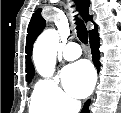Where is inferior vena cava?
<instances>
[{
	"mask_svg": "<svg viewBox=\"0 0 121 113\" xmlns=\"http://www.w3.org/2000/svg\"><path fill=\"white\" fill-rule=\"evenodd\" d=\"M81 109L80 101H73L70 108V113H79Z\"/></svg>",
	"mask_w": 121,
	"mask_h": 113,
	"instance_id": "inferior-vena-cava-1",
	"label": "inferior vena cava"
}]
</instances>
